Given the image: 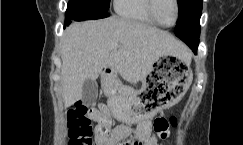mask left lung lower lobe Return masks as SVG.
<instances>
[{
  "label": "left lung lower lobe",
  "mask_w": 243,
  "mask_h": 145,
  "mask_svg": "<svg viewBox=\"0 0 243 145\" xmlns=\"http://www.w3.org/2000/svg\"><path fill=\"white\" fill-rule=\"evenodd\" d=\"M175 28L181 31L178 32L176 36L184 41L192 51L196 53L199 44L200 26L192 24L186 17H182L179 19Z\"/></svg>",
  "instance_id": "1"
}]
</instances>
